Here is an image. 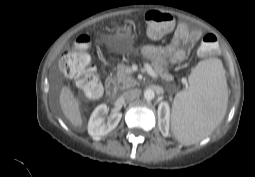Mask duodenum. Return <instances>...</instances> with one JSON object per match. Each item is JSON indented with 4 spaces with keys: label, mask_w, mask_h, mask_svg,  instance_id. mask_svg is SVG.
<instances>
[{
    "label": "duodenum",
    "mask_w": 255,
    "mask_h": 177,
    "mask_svg": "<svg viewBox=\"0 0 255 177\" xmlns=\"http://www.w3.org/2000/svg\"><path fill=\"white\" fill-rule=\"evenodd\" d=\"M106 91L109 96H114L117 92L116 83L112 77H107L105 81Z\"/></svg>",
    "instance_id": "410a0bca"
}]
</instances>
